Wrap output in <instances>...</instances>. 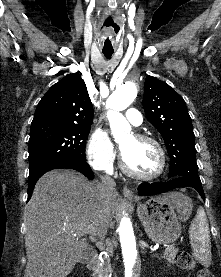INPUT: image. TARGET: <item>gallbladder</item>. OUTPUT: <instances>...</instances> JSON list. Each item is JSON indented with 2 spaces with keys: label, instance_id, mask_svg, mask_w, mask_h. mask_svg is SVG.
I'll list each match as a JSON object with an SVG mask.
<instances>
[{
  "label": "gallbladder",
  "instance_id": "gallbladder-1",
  "mask_svg": "<svg viewBox=\"0 0 221 277\" xmlns=\"http://www.w3.org/2000/svg\"><path fill=\"white\" fill-rule=\"evenodd\" d=\"M89 256H83L81 259H80V263L81 264H85V263H87L88 261H89Z\"/></svg>",
  "mask_w": 221,
  "mask_h": 277
}]
</instances>
